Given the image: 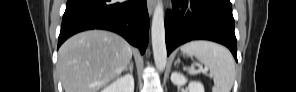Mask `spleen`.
Masks as SVG:
<instances>
[{"label": "spleen", "instance_id": "spleen-1", "mask_svg": "<svg viewBox=\"0 0 296 92\" xmlns=\"http://www.w3.org/2000/svg\"><path fill=\"white\" fill-rule=\"evenodd\" d=\"M183 53L194 55L210 69L213 75V92H230L235 66L231 53L225 47L210 41H191L181 46Z\"/></svg>", "mask_w": 296, "mask_h": 92}]
</instances>
